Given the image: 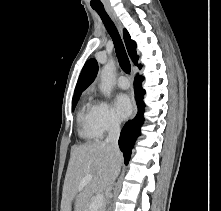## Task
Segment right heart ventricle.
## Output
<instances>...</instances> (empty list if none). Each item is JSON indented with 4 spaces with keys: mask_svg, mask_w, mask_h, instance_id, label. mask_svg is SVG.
I'll use <instances>...</instances> for the list:
<instances>
[{
    "mask_svg": "<svg viewBox=\"0 0 221 211\" xmlns=\"http://www.w3.org/2000/svg\"><path fill=\"white\" fill-rule=\"evenodd\" d=\"M79 125V135L87 140L94 141L101 137L94 126L93 121V105L89 102H84L78 111L77 115Z\"/></svg>",
    "mask_w": 221,
    "mask_h": 211,
    "instance_id": "1",
    "label": "right heart ventricle"
}]
</instances>
